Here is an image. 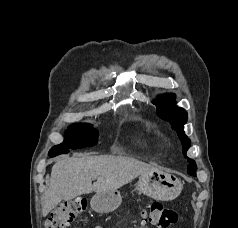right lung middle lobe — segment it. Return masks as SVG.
<instances>
[{"mask_svg":"<svg viewBox=\"0 0 238 228\" xmlns=\"http://www.w3.org/2000/svg\"><path fill=\"white\" fill-rule=\"evenodd\" d=\"M98 136V131L88 124H73L66 130L63 143L54 146L48 154L56 156L67 153L70 149L94 146L97 144Z\"/></svg>","mask_w":238,"mask_h":228,"instance_id":"dd1d6c3e","label":"right lung middle lobe"}]
</instances>
